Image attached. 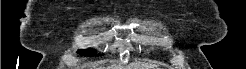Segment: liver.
Returning <instances> with one entry per match:
<instances>
[{
	"label": "liver",
	"mask_w": 246,
	"mask_h": 69,
	"mask_svg": "<svg viewBox=\"0 0 246 69\" xmlns=\"http://www.w3.org/2000/svg\"><path fill=\"white\" fill-rule=\"evenodd\" d=\"M133 67H138V68H135V69H153L155 66H153V65H143V66L135 65ZM139 67H143V68H139Z\"/></svg>",
	"instance_id": "liver-1"
}]
</instances>
